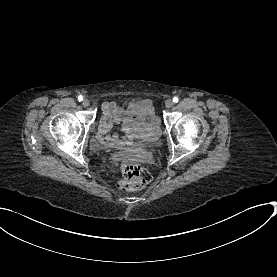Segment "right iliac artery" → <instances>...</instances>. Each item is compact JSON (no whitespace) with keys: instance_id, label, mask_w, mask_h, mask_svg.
I'll use <instances>...</instances> for the list:
<instances>
[{"instance_id":"1","label":"right iliac artery","mask_w":277,"mask_h":277,"mask_svg":"<svg viewBox=\"0 0 277 277\" xmlns=\"http://www.w3.org/2000/svg\"><path fill=\"white\" fill-rule=\"evenodd\" d=\"M78 100H79V101H82V100H83V97L80 95V96L78 97Z\"/></svg>"}]
</instances>
